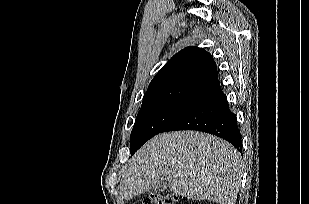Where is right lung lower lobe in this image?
Here are the masks:
<instances>
[{
  "label": "right lung lower lobe",
  "mask_w": 309,
  "mask_h": 204,
  "mask_svg": "<svg viewBox=\"0 0 309 204\" xmlns=\"http://www.w3.org/2000/svg\"><path fill=\"white\" fill-rule=\"evenodd\" d=\"M176 130H197L216 135L230 142L242 154V139L237 118L230 111L223 92L196 104L162 132Z\"/></svg>",
  "instance_id": "1"
}]
</instances>
